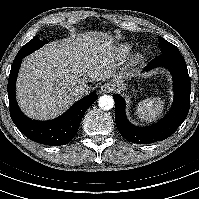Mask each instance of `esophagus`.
Masks as SVG:
<instances>
[{"label": "esophagus", "instance_id": "1", "mask_svg": "<svg viewBox=\"0 0 199 199\" xmlns=\"http://www.w3.org/2000/svg\"><path fill=\"white\" fill-rule=\"evenodd\" d=\"M113 89H114V84H112L111 82H106L105 84L101 86V92L103 93H109Z\"/></svg>", "mask_w": 199, "mask_h": 199}]
</instances>
